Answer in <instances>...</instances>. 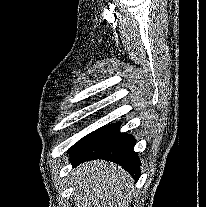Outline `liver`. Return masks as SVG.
<instances>
[{
  "label": "liver",
  "instance_id": "obj_1",
  "mask_svg": "<svg viewBox=\"0 0 206 207\" xmlns=\"http://www.w3.org/2000/svg\"><path fill=\"white\" fill-rule=\"evenodd\" d=\"M70 180L77 207H127L134 194L131 176L104 160L80 164Z\"/></svg>",
  "mask_w": 206,
  "mask_h": 207
}]
</instances>
